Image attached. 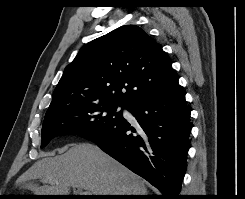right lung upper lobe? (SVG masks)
<instances>
[{"label": "right lung upper lobe", "instance_id": "1", "mask_svg": "<svg viewBox=\"0 0 245 199\" xmlns=\"http://www.w3.org/2000/svg\"><path fill=\"white\" fill-rule=\"evenodd\" d=\"M178 82L162 47L136 25L119 27L82 47L66 66L45 116L68 106H127Z\"/></svg>", "mask_w": 245, "mask_h": 199}]
</instances>
